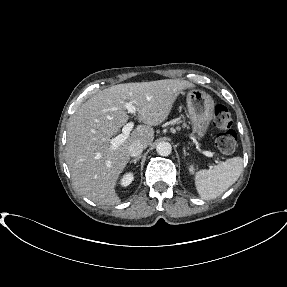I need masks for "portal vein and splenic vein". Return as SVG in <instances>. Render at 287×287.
<instances>
[{
    "label": "portal vein and splenic vein",
    "instance_id": "portal-vein-and-splenic-vein-1",
    "mask_svg": "<svg viewBox=\"0 0 287 287\" xmlns=\"http://www.w3.org/2000/svg\"><path fill=\"white\" fill-rule=\"evenodd\" d=\"M124 107L126 110H128L129 113L134 114V115L136 114L137 109L131 102L125 103ZM133 127H134V122L133 121L128 122L122 128V133L110 140L111 147L113 149H116L119 145H121L129 137L130 132L132 131ZM201 152L207 157H213V153L209 151H201Z\"/></svg>",
    "mask_w": 287,
    "mask_h": 287
}]
</instances>
